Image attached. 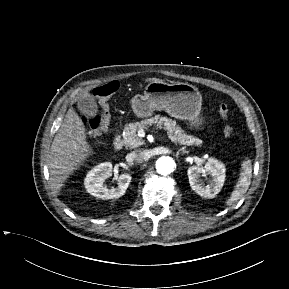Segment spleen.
Here are the masks:
<instances>
[{
    "label": "spleen",
    "mask_w": 289,
    "mask_h": 289,
    "mask_svg": "<svg viewBox=\"0 0 289 289\" xmlns=\"http://www.w3.org/2000/svg\"><path fill=\"white\" fill-rule=\"evenodd\" d=\"M252 178V164L251 160H246L242 163V170L239 179L231 193L230 198L226 201V205L231 206L247 192Z\"/></svg>",
    "instance_id": "3e777b00"
}]
</instances>
